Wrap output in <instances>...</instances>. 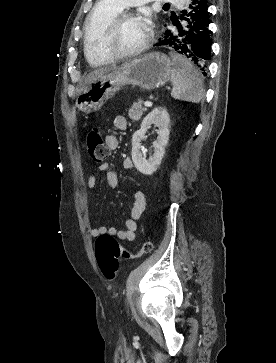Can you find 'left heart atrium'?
<instances>
[{
	"label": "left heart atrium",
	"mask_w": 276,
	"mask_h": 363,
	"mask_svg": "<svg viewBox=\"0 0 276 363\" xmlns=\"http://www.w3.org/2000/svg\"><path fill=\"white\" fill-rule=\"evenodd\" d=\"M143 23H144V26H145L146 30L149 31L150 28H151L150 20L147 17H144L143 18Z\"/></svg>",
	"instance_id": "left-heart-atrium-1"
}]
</instances>
